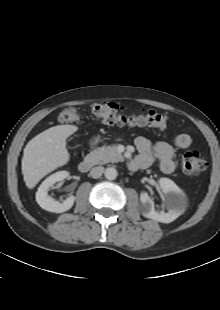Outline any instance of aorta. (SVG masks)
<instances>
[{"label": "aorta", "mask_w": 220, "mask_h": 310, "mask_svg": "<svg viewBox=\"0 0 220 310\" xmlns=\"http://www.w3.org/2000/svg\"><path fill=\"white\" fill-rule=\"evenodd\" d=\"M117 175H118V172L114 167H109L105 170V177L108 180L116 179Z\"/></svg>", "instance_id": "obj_1"}]
</instances>
